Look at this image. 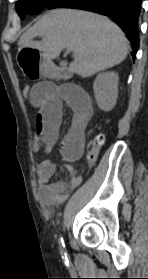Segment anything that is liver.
Segmentation results:
<instances>
[{
    "mask_svg": "<svg viewBox=\"0 0 148 279\" xmlns=\"http://www.w3.org/2000/svg\"><path fill=\"white\" fill-rule=\"evenodd\" d=\"M37 36L42 40L34 41ZM18 46L36 49L50 62L64 48H70L74 54L70 69L86 78L121 63L129 42L107 17L82 10L54 9L20 37Z\"/></svg>",
    "mask_w": 148,
    "mask_h": 279,
    "instance_id": "6515ba94",
    "label": "liver"
}]
</instances>
